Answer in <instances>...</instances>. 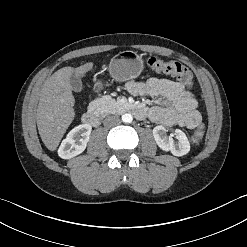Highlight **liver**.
<instances>
[{"label": "liver", "mask_w": 247, "mask_h": 247, "mask_svg": "<svg viewBox=\"0 0 247 247\" xmlns=\"http://www.w3.org/2000/svg\"><path fill=\"white\" fill-rule=\"evenodd\" d=\"M93 68L89 62L77 68L63 67L44 82L39 93L36 122L44 145L55 151L75 117V99L70 77L83 75Z\"/></svg>", "instance_id": "obj_1"}]
</instances>
